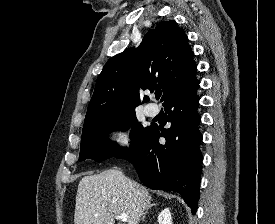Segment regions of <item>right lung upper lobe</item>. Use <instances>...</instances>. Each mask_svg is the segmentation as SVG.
I'll list each match as a JSON object with an SVG mask.
<instances>
[{
	"instance_id": "right-lung-upper-lobe-1",
	"label": "right lung upper lobe",
	"mask_w": 275,
	"mask_h": 224,
	"mask_svg": "<svg viewBox=\"0 0 275 224\" xmlns=\"http://www.w3.org/2000/svg\"><path fill=\"white\" fill-rule=\"evenodd\" d=\"M184 30L173 20L162 21L137 48L111 57L96 81L83 128L107 117L135 111L138 87L161 88L162 101L186 87L197 71ZM144 96L143 103L148 102Z\"/></svg>"
}]
</instances>
